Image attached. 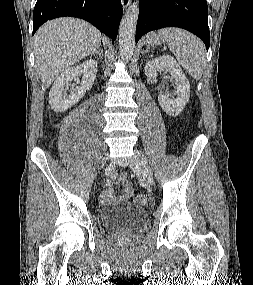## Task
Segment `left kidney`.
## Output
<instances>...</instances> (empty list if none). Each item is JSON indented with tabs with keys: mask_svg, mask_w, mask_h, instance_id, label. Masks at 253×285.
<instances>
[{
	"mask_svg": "<svg viewBox=\"0 0 253 285\" xmlns=\"http://www.w3.org/2000/svg\"><path fill=\"white\" fill-rule=\"evenodd\" d=\"M144 71L148 77H156L158 72H169L171 79L176 85V98H169L166 95H159L158 101L161 108L170 116L179 115L186 106L190 97V83L182 69L174 58L163 55L152 59L145 64Z\"/></svg>",
	"mask_w": 253,
	"mask_h": 285,
	"instance_id": "left-kidney-1",
	"label": "left kidney"
}]
</instances>
